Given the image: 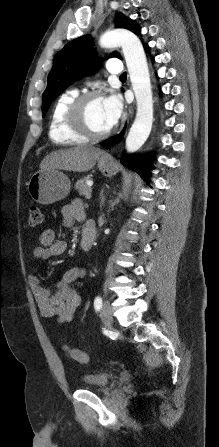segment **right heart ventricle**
<instances>
[{
  "mask_svg": "<svg viewBox=\"0 0 219 447\" xmlns=\"http://www.w3.org/2000/svg\"><path fill=\"white\" fill-rule=\"evenodd\" d=\"M78 95L77 90L63 93L53 105L49 119V138L55 144L76 145L87 141V138L73 131L66 121V111L71 101Z\"/></svg>",
  "mask_w": 219,
  "mask_h": 447,
  "instance_id": "1",
  "label": "right heart ventricle"
}]
</instances>
